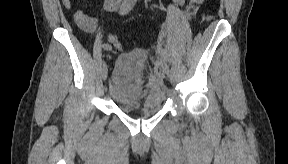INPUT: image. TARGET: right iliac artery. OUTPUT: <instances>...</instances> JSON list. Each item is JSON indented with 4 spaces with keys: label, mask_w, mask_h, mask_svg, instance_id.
<instances>
[{
    "label": "right iliac artery",
    "mask_w": 288,
    "mask_h": 164,
    "mask_svg": "<svg viewBox=\"0 0 288 164\" xmlns=\"http://www.w3.org/2000/svg\"><path fill=\"white\" fill-rule=\"evenodd\" d=\"M103 48L107 51H111L112 50V46L109 43H105L103 44Z\"/></svg>",
    "instance_id": "1"
}]
</instances>
